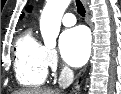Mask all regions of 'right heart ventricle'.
Masks as SVG:
<instances>
[{
    "instance_id": "right-heart-ventricle-1",
    "label": "right heart ventricle",
    "mask_w": 121,
    "mask_h": 94,
    "mask_svg": "<svg viewBox=\"0 0 121 94\" xmlns=\"http://www.w3.org/2000/svg\"><path fill=\"white\" fill-rule=\"evenodd\" d=\"M15 74L25 87H38L46 80L45 46L36 40L31 29L23 31L16 42Z\"/></svg>"
}]
</instances>
